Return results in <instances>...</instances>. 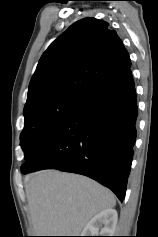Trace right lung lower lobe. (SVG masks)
<instances>
[{"instance_id": "98d812e1", "label": "right lung lower lobe", "mask_w": 158, "mask_h": 237, "mask_svg": "<svg viewBox=\"0 0 158 237\" xmlns=\"http://www.w3.org/2000/svg\"><path fill=\"white\" fill-rule=\"evenodd\" d=\"M138 115L131 70L92 93L41 144L22 170L54 168L88 176L125 198Z\"/></svg>"}]
</instances>
